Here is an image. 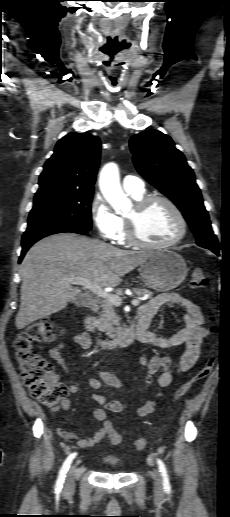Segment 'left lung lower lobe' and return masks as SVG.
<instances>
[{
  "label": "left lung lower lobe",
  "instance_id": "left-lung-lower-lobe-1",
  "mask_svg": "<svg viewBox=\"0 0 230 517\" xmlns=\"http://www.w3.org/2000/svg\"><path fill=\"white\" fill-rule=\"evenodd\" d=\"M210 250H212L215 254L219 255V249L218 248H211Z\"/></svg>",
  "mask_w": 230,
  "mask_h": 517
}]
</instances>
